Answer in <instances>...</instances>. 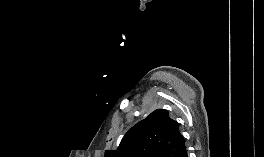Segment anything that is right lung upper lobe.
<instances>
[{"label":"right lung upper lobe","mask_w":264,"mask_h":157,"mask_svg":"<svg viewBox=\"0 0 264 157\" xmlns=\"http://www.w3.org/2000/svg\"><path fill=\"white\" fill-rule=\"evenodd\" d=\"M185 139L179 124L164 109H157L133 126L123 137L117 150L105 157H180Z\"/></svg>","instance_id":"cb5924a9"}]
</instances>
